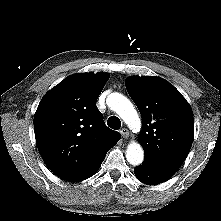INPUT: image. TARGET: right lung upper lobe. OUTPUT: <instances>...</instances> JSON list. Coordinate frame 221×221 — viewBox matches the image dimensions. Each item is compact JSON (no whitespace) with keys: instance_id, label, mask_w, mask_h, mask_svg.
<instances>
[{"instance_id":"right-lung-upper-lobe-1","label":"right lung upper lobe","mask_w":221,"mask_h":221,"mask_svg":"<svg viewBox=\"0 0 221 221\" xmlns=\"http://www.w3.org/2000/svg\"><path fill=\"white\" fill-rule=\"evenodd\" d=\"M108 79L106 73L71 75L39 103L34 115L37 147L49 169L64 180H84L120 139L96 107Z\"/></svg>"}]
</instances>
